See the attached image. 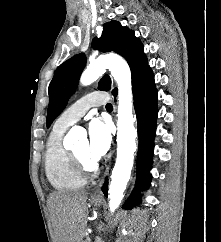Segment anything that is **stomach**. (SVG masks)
<instances>
[{"mask_svg":"<svg viewBox=\"0 0 221 242\" xmlns=\"http://www.w3.org/2000/svg\"><path fill=\"white\" fill-rule=\"evenodd\" d=\"M90 202H91L93 205L98 206V205H100L101 200L91 198V199H90Z\"/></svg>","mask_w":221,"mask_h":242,"instance_id":"0dacf381","label":"stomach"}]
</instances>
